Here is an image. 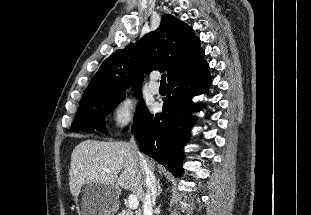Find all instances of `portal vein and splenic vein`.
<instances>
[{"instance_id": "1", "label": "portal vein and splenic vein", "mask_w": 311, "mask_h": 215, "mask_svg": "<svg viewBox=\"0 0 311 215\" xmlns=\"http://www.w3.org/2000/svg\"><path fill=\"white\" fill-rule=\"evenodd\" d=\"M108 171V170H106ZM139 206V201L135 195H130L128 198V207L129 209L135 210Z\"/></svg>"}]
</instances>
